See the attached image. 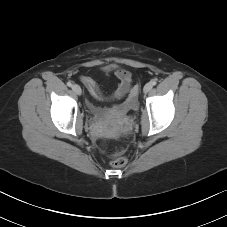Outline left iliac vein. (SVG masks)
Instances as JSON below:
<instances>
[{
    "instance_id": "1",
    "label": "left iliac vein",
    "mask_w": 227,
    "mask_h": 227,
    "mask_svg": "<svg viewBox=\"0 0 227 227\" xmlns=\"http://www.w3.org/2000/svg\"><path fill=\"white\" fill-rule=\"evenodd\" d=\"M152 84L149 82V83H147L145 86H144V88H143V92L144 93H148L151 89H152Z\"/></svg>"
}]
</instances>
